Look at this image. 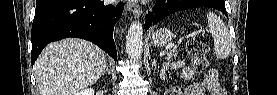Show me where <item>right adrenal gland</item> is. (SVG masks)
Returning <instances> with one entry per match:
<instances>
[{
	"instance_id": "2a0ac1e0",
	"label": "right adrenal gland",
	"mask_w": 277,
	"mask_h": 95,
	"mask_svg": "<svg viewBox=\"0 0 277 95\" xmlns=\"http://www.w3.org/2000/svg\"><path fill=\"white\" fill-rule=\"evenodd\" d=\"M105 73L110 74V71H109V69H108V66H106L105 71L103 72L102 76H104V75H105Z\"/></svg>"
}]
</instances>
